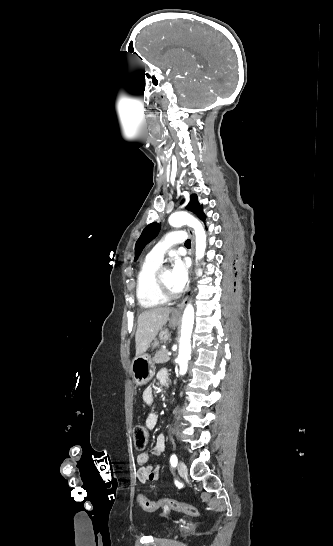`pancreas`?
Wrapping results in <instances>:
<instances>
[{"label": "pancreas", "instance_id": "pancreas-1", "mask_svg": "<svg viewBox=\"0 0 333 546\" xmlns=\"http://www.w3.org/2000/svg\"><path fill=\"white\" fill-rule=\"evenodd\" d=\"M168 350L161 348L154 356L153 361L157 364L166 363L169 361L170 357L167 355Z\"/></svg>", "mask_w": 333, "mask_h": 546}]
</instances>
